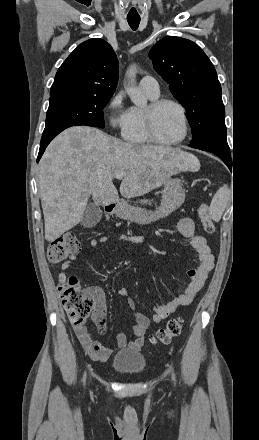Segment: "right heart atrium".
Returning a JSON list of instances; mask_svg holds the SVG:
<instances>
[{"mask_svg":"<svg viewBox=\"0 0 259 440\" xmlns=\"http://www.w3.org/2000/svg\"><path fill=\"white\" fill-rule=\"evenodd\" d=\"M107 119L109 126L121 134L129 123V109L124 106L123 92L116 93L108 102Z\"/></svg>","mask_w":259,"mask_h":440,"instance_id":"1","label":"right heart atrium"}]
</instances>
